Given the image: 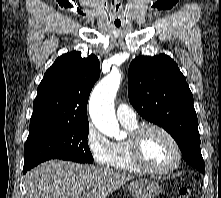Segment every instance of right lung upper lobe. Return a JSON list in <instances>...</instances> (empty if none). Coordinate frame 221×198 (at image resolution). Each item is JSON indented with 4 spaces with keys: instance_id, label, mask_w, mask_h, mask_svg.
I'll return each mask as SVG.
<instances>
[{
    "instance_id": "right-lung-upper-lobe-1",
    "label": "right lung upper lobe",
    "mask_w": 221,
    "mask_h": 198,
    "mask_svg": "<svg viewBox=\"0 0 221 198\" xmlns=\"http://www.w3.org/2000/svg\"><path fill=\"white\" fill-rule=\"evenodd\" d=\"M99 76L100 63L93 54L82 58L73 51L58 57L38 86L31 123L88 122L87 102Z\"/></svg>"
}]
</instances>
